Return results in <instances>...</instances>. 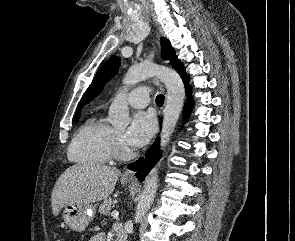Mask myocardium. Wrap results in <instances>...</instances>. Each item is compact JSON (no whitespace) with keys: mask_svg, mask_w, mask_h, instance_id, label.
<instances>
[{"mask_svg":"<svg viewBox=\"0 0 295 241\" xmlns=\"http://www.w3.org/2000/svg\"><path fill=\"white\" fill-rule=\"evenodd\" d=\"M133 156V152L126 146L124 141L114 133L111 144V157L117 160H126Z\"/></svg>","mask_w":295,"mask_h":241,"instance_id":"f54148a6","label":"myocardium"}]
</instances>
